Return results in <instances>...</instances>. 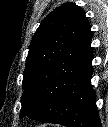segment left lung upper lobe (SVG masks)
Masks as SVG:
<instances>
[{
    "instance_id": "1",
    "label": "left lung upper lobe",
    "mask_w": 108,
    "mask_h": 127,
    "mask_svg": "<svg viewBox=\"0 0 108 127\" xmlns=\"http://www.w3.org/2000/svg\"><path fill=\"white\" fill-rule=\"evenodd\" d=\"M85 20L80 6L66 2L50 12L37 28L25 61L21 116L37 119L52 102L64 75L60 58L69 51Z\"/></svg>"
}]
</instances>
